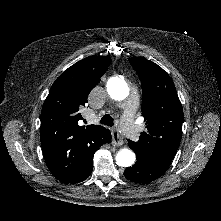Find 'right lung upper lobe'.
<instances>
[{
  "mask_svg": "<svg viewBox=\"0 0 221 221\" xmlns=\"http://www.w3.org/2000/svg\"><path fill=\"white\" fill-rule=\"evenodd\" d=\"M111 58L90 56L65 70L53 83L41 112V145L55 178L69 184L79 174L90 152L107 142L109 130L80 126L79 109L107 71Z\"/></svg>",
  "mask_w": 221,
  "mask_h": 221,
  "instance_id": "obj_1",
  "label": "right lung upper lobe"
}]
</instances>
